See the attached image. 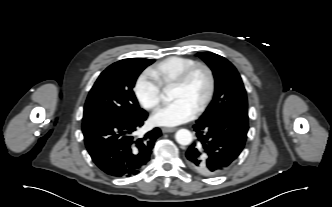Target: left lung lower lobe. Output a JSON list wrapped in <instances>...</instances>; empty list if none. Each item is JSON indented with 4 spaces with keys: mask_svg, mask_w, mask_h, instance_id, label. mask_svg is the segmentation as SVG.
<instances>
[{
    "mask_svg": "<svg viewBox=\"0 0 332 207\" xmlns=\"http://www.w3.org/2000/svg\"><path fill=\"white\" fill-rule=\"evenodd\" d=\"M197 139L186 152L188 165L204 176L228 170L244 148L249 129L246 113H228L210 121L197 120Z\"/></svg>",
    "mask_w": 332,
    "mask_h": 207,
    "instance_id": "obj_1",
    "label": "left lung lower lobe"
}]
</instances>
